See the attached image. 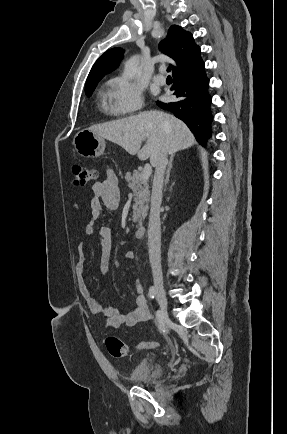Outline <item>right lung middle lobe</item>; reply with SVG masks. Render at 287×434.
Returning <instances> with one entry per match:
<instances>
[{
  "label": "right lung middle lobe",
  "mask_w": 287,
  "mask_h": 434,
  "mask_svg": "<svg viewBox=\"0 0 287 434\" xmlns=\"http://www.w3.org/2000/svg\"><path fill=\"white\" fill-rule=\"evenodd\" d=\"M98 82L99 81L86 84V87H85L86 96H88V97L91 96V94H92L93 90L95 89Z\"/></svg>",
  "instance_id": "1"
}]
</instances>
